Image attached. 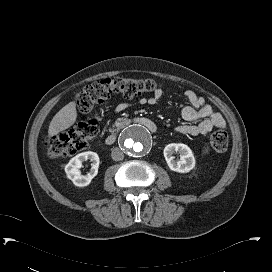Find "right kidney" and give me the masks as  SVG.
<instances>
[{"label":"right kidney","mask_w":272,"mask_h":272,"mask_svg":"<svg viewBox=\"0 0 272 272\" xmlns=\"http://www.w3.org/2000/svg\"><path fill=\"white\" fill-rule=\"evenodd\" d=\"M90 160L92 167L87 175H82L80 168L82 162ZM99 156L97 153L87 151L80 153L73 157L65 166L67 177L73 182L75 186L84 187L90 184L91 180L97 175L99 167Z\"/></svg>","instance_id":"right-kidney-1"}]
</instances>
